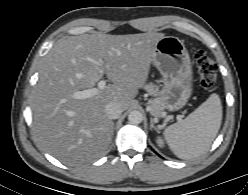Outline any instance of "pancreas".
Instances as JSON below:
<instances>
[{
    "mask_svg": "<svg viewBox=\"0 0 248 195\" xmlns=\"http://www.w3.org/2000/svg\"><path fill=\"white\" fill-rule=\"evenodd\" d=\"M145 90L155 98L151 102V114L155 117H160L163 114V101L161 97H158V90L152 83L146 85Z\"/></svg>",
    "mask_w": 248,
    "mask_h": 195,
    "instance_id": "cf45deb5",
    "label": "pancreas"
}]
</instances>
